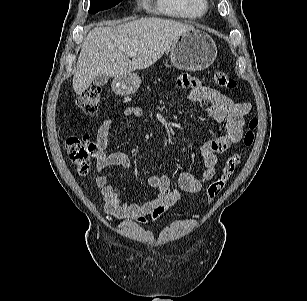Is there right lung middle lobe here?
Returning a JSON list of instances; mask_svg holds the SVG:
<instances>
[{
  "label": "right lung middle lobe",
  "mask_w": 307,
  "mask_h": 301,
  "mask_svg": "<svg viewBox=\"0 0 307 301\" xmlns=\"http://www.w3.org/2000/svg\"><path fill=\"white\" fill-rule=\"evenodd\" d=\"M121 1L122 0H91L89 13H96L99 11L110 9Z\"/></svg>",
  "instance_id": "dd1d6c3e"
}]
</instances>
